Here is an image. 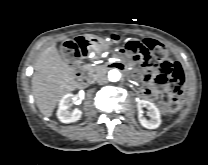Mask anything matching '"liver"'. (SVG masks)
<instances>
[{
	"mask_svg": "<svg viewBox=\"0 0 208 165\" xmlns=\"http://www.w3.org/2000/svg\"><path fill=\"white\" fill-rule=\"evenodd\" d=\"M77 87L73 68L61 58L55 45L44 49L37 58L32 77L33 95L40 112L50 117L65 94Z\"/></svg>",
	"mask_w": 208,
	"mask_h": 165,
	"instance_id": "6515ba94",
	"label": "liver"
}]
</instances>
